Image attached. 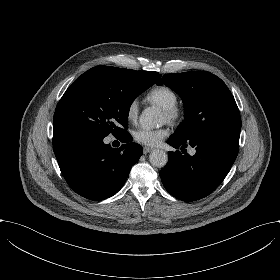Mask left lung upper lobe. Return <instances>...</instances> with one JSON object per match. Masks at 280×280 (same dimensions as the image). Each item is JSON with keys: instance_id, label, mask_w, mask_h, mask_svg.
Masks as SVG:
<instances>
[{"instance_id": "5c2ea615", "label": "left lung upper lobe", "mask_w": 280, "mask_h": 280, "mask_svg": "<svg viewBox=\"0 0 280 280\" xmlns=\"http://www.w3.org/2000/svg\"><path fill=\"white\" fill-rule=\"evenodd\" d=\"M174 90L184 104V120L174 137L188 140L215 131L241 130V118L228 87L216 75L191 71L166 74L158 82Z\"/></svg>"}]
</instances>
